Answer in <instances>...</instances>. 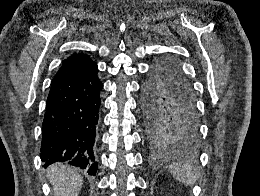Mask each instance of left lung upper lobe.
Wrapping results in <instances>:
<instances>
[{"instance_id": "obj_1", "label": "left lung upper lobe", "mask_w": 260, "mask_h": 196, "mask_svg": "<svg viewBox=\"0 0 260 196\" xmlns=\"http://www.w3.org/2000/svg\"><path fill=\"white\" fill-rule=\"evenodd\" d=\"M145 143L155 152L193 147L200 141V119L192 85L175 58L154 63L143 85Z\"/></svg>"}]
</instances>
